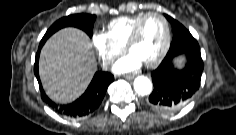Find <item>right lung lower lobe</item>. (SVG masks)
Listing matches in <instances>:
<instances>
[{
    "mask_svg": "<svg viewBox=\"0 0 236 135\" xmlns=\"http://www.w3.org/2000/svg\"><path fill=\"white\" fill-rule=\"evenodd\" d=\"M45 41L41 40L40 42L39 50L36 54L34 65V73L39 82V87L43 100L52 108H54L56 112L68 117L80 118L93 113L101 104V101L105 96L108 86L114 81V76L109 72H96L89 87L79 99L68 105H57L56 103L52 102L45 94L38 74V60L40 50L44 45Z\"/></svg>",
    "mask_w": 236,
    "mask_h": 135,
    "instance_id": "1",
    "label": "right lung lower lobe"
}]
</instances>
